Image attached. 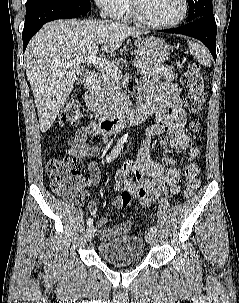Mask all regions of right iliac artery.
<instances>
[{"instance_id":"right-iliac-artery-1","label":"right iliac artery","mask_w":239,"mask_h":303,"mask_svg":"<svg viewBox=\"0 0 239 303\" xmlns=\"http://www.w3.org/2000/svg\"><path fill=\"white\" fill-rule=\"evenodd\" d=\"M123 145L124 142L123 141H119L116 146L114 147V149L112 150V152L106 156V162H111L112 160H114L121 152V150L123 149ZM87 225H92L93 224V219L88 218L86 221Z\"/></svg>"}]
</instances>
